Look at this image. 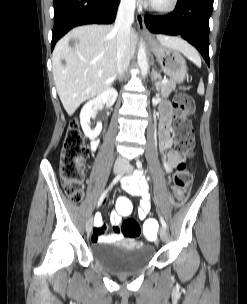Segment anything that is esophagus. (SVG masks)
I'll return each mask as SVG.
<instances>
[{
    "label": "esophagus",
    "instance_id": "esophagus-1",
    "mask_svg": "<svg viewBox=\"0 0 247 304\" xmlns=\"http://www.w3.org/2000/svg\"><path fill=\"white\" fill-rule=\"evenodd\" d=\"M136 20H137V25H138L139 30L147 37H151V33L146 28L145 23H144V15L142 13H138Z\"/></svg>",
    "mask_w": 247,
    "mask_h": 304
}]
</instances>
